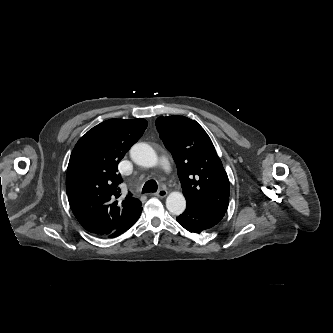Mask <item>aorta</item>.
<instances>
[{
    "label": "aorta",
    "instance_id": "762f6f07",
    "mask_svg": "<svg viewBox=\"0 0 333 333\" xmlns=\"http://www.w3.org/2000/svg\"><path fill=\"white\" fill-rule=\"evenodd\" d=\"M131 159L139 166L154 167L158 164V156L154 149L146 143H137L130 150ZM169 212L179 215L186 208V200L182 193L172 192L166 199Z\"/></svg>",
    "mask_w": 333,
    "mask_h": 333
}]
</instances>
